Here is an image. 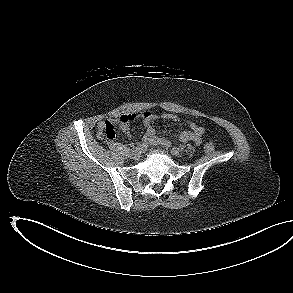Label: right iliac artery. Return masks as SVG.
<instances>
[{
	"instance_id": "82829eb1",
	"label": "right iliac artery",
	"mask_w": 293,
	"mask_h": 293,
	"mask_svg": "<svg viewBox=\"0 0 293 293\" xmlns=\"http://www.w3.org/2000/svg\"><path fill=\"white\" fill-rule=\"evenodd\" d=\"M147 143H142V144H139V145H137V147L136 148H139V149H145V148H147Z\"/></svg>"
}]
</instances>
